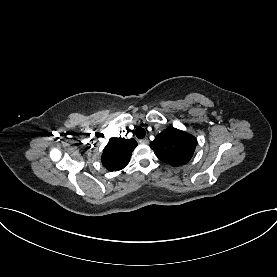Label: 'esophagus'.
<instances>
[{
	"label": "esophagus",
	"mask_w": 277,
	"mask_h": 277,
	"mask_svg": "<svg viewBox=\"0 0 277 277\" xmlns=\"http://www.w3.org/2000/svg\"><path fill=\"white\" fill-rule=\"evenodd\" d=\"M140 144L147 145L149 143V140L147 138L139 140Z\"/></svg>",
	"instance_id": "obj_1"
}]
</instances>
